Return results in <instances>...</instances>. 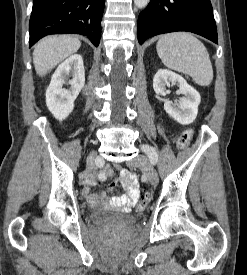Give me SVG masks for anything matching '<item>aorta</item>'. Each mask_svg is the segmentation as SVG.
Returning <instances> with one entry per match:
<instances>
[{"label":"aorta","instance_id":"aorta-1","mask_svg":"<svg viewBox=\"0 0 247 275\" xmlns=\"http://www.w3.org/2000/svg\"><path fill=\"white\" fill-rule=\"evenodd\" d=\"M149 2L150 0H134V3L138 8L146 7Z\"/></svg>","mask_w":247,"mask_h":275}]
</instances>
